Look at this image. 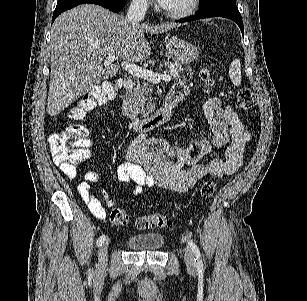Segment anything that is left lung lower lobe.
<instances>
[{
  "label": "left lung lower lobe",
  "instance_id": "1",
  "mask_svg": "<svg viewBox=\"0 0 307 301\" xmlns=\"http://www.w3.org/2000/svg\"><path fill=\"white\" fill-rule=\"evenodd\" d=\"M210 17H224L233 20L236 22L241 29V32L244 34V29H243V21L241 18V15H236V14H231V13H219V12H209V13H197L195 16L181 19L179 22H189V21H194L198 19H204V18H210Z\"/></svg>",
  "mask_w": 307,
  "mask_h": 301
}]
</instances>
